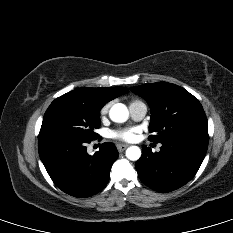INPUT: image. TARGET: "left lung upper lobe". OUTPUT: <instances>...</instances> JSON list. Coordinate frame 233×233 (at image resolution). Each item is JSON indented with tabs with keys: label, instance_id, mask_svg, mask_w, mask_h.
Returning <instances> with one entry per match:
<instances>
[{
	"label": "left lung upper lobe",
	"instance_id": "1",
	"mask_svg": "<svg viewBox=\"0 0 233 233\" xmlns=\"http://www.w3.org/2000/svg\"><path fill=\"white\" fill-rule=\"evenodd\" d=\"M144 98L151 109L149 140L164 143L178 138L208 139L207 118L203 107L184 88L166 82L130 88Z\"/></svg>",
	"mask_w": 233,
	"mask_h": 233
}]
</instances>
